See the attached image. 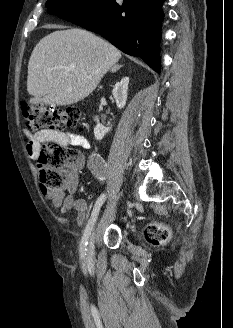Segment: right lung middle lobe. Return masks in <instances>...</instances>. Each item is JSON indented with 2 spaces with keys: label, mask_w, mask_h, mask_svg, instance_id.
Segmentation results:
<instances>
[{
  "label": "right lung middle lobe",
  "mask_w": 233,
  "mask_h": 328,
  "mask_svg": "<svg viewBox=\"0 0 233 328\" xmlns=\"http://www.w3.org/2000/svg\"><path fill=\"white\" fill-rule=\"evenodd\" d=\"M100 0H48L46 7L50 14L66 17L73 12H78L98 3Z\"/></svg>",
  "instance_id": "dd1d6c3e"
}]
</instances>
